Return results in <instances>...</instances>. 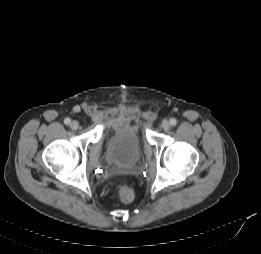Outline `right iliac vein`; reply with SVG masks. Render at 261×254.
Masks as SVG:
<instances>
[{
	"mask_svg": "<svg viewBox=\"0 0 261 254\" xmlns=\"http://www.w3.org/2000/svg\"><path fill=\"white\" fill-rule=\"evenodd\" d=\"M70 127L72 130H77L79 128V122L76 121V120H73L71 123H70Z\"/></svg>",
	"mask_w": 261,
	"mask_h": 254,
	"instance_id": "right-iliac-vein-1",
	"label": "right iliac vein"
}]
</instances>
